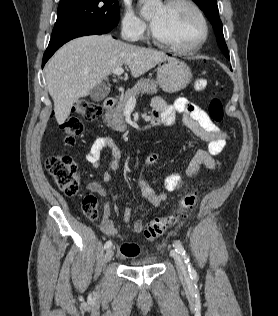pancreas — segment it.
I'll use <instances>...</instances> for the list:
<instances>
[{"mask_svg": "<svg viewBox=\"0 0 278 316\" xmlns=\"http://www.w3.org/2000/svg\"><path fill=\"white\" fill-rule=\"evenodd\" d=\"M158 92L157 83L151 79L141 78L134 87L128 89L126 93L119 98L117 106L105 114V122L115 131H125L126 124L123 118V110L131 97L138 95L155 94Z\"/></svg>", "mask_w": 278, "mask_h": 316, "instance_id": "pancreas-1", "label": "pancreas"}]
</instances>
